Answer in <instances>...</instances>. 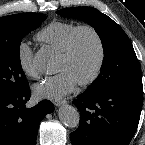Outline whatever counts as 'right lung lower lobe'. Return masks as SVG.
Returning <instances> with one entry per match:
<instances>
[{
  "instance_id": "98d812e1",
  "label": "right lung lower lobe",
  "mask_w": 145,
  "mask_h": 145,
  "mask_svg": "<svg viewBox=\"0 0 145 145\" xmlns=\"http://www.w3.org/2000/svg\"><path fill=\"white\" fill-rule=\"evenodd\" d=\"M29 86L16 94H0V145H35L38 126L54 111L49 100L27 108Z\"/></svg>"
}]
</instances>
